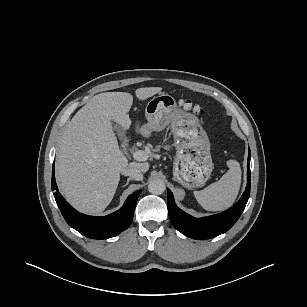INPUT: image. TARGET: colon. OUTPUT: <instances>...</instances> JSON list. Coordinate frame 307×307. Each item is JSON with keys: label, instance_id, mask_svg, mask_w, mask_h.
<instances>
[{"label": "colon", "instance_id": "5ec220e1", "mask_svg": "<svg viewBox=\"0 0 307 307\" xmlns=\"http://www.w3.org/2000/svg\"><path fill=\"white\" fill-rule=\"evenodd\" d=\"M179 106L184 110H192L195 114L201 117L205 116L204 110L198 104H194L191 100L181 99L179 101Z\"/></svg>", "mask_w": 307, "mask_h": 307}]
</instances>
